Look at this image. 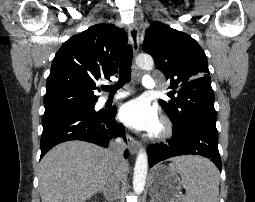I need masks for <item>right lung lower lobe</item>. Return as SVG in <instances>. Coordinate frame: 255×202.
Masks as SVG:
<instances>
[{"label":"right lung lower lobe","instance_id":"98d812e1","mask_svg":"<svg viewBox=\"0 0 255 202\" xmlns=\"http://www.w3.org/2000/svg\"><path fill=\"white\" fill-rule=\"evenodd\" d=\"M116 112V109H110L96 114L76 109L44 113L40 158L55 145L69 140H83L107 147L111 138L120 136L125 139L123 126L114 120ZM127 154L128 151H125V158Z\"/></svg>","mask_w":255,"mask_h":202}]
</instances>
